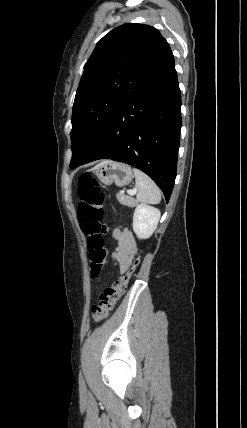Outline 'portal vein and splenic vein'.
<instances>
[{"instance_id": "obj_1", "label": "portal vein and splenic vein", "mask_w": 247, "mask_h": 428, "mask_svg": "<svg viewBox=\"0 0 247 428\" xmlns=\"http://www.w3.org/2000/svg\"><path fill=\"white\" fill-rule=\"evenodd\" d=\"M136 192H137V189H136V188H134L133 190H128V191H127V193H128L129 195H131V196L135 195V194H136Z\"/></svg>"}]
</instances>
